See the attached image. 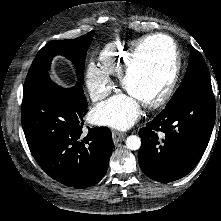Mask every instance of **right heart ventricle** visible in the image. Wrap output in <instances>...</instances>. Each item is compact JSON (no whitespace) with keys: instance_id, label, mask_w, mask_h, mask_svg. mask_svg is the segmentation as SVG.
<instances>
[{"instance_id":"obj_1","label":"right heart ventricle","mask_w":221,"mask_h":221,"mask_svg":"<svg viewBox=\"0 0 221 221\" xmlns=\"http://www.w3.org/2000/svg\"><path fill=\"white\" fill-rule=\"evenodd\" d=\"M141 36L107 44L99 56V67L106 76H119Z\"/></svg>"}]
</instances>
